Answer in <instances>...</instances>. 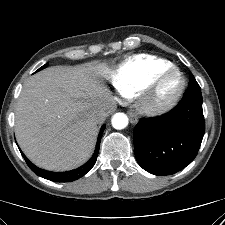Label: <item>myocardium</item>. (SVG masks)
<instances>
[{"instance_id":"myocardium-1","label":"myocardium","mask_w":225,"mask_h":225,"mask_svg":"<svg viewBox=\"0 0 225 225\" xmlns=\"http://www.w3.org/2000/svg\"><path fill=\"white\" fill-rule=\"evenodd\" d=\"M171 87L163 92L166 83ZM185 87V77L177 68L163 71L154 77L138 94V109L146 116H159L171 110Z\"/></svg>"}]
</instances>
